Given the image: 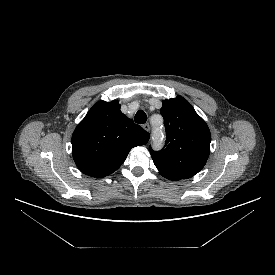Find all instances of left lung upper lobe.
<instances>
[{"label": "left lung upper lobe", "instance_id": "obj_1", "mask_svg": "<svg viewBox=\"0 0 275 275\" xmlns=\"http://www.w3.org/2000/svg\"><path fill=\"white\" fill-rule=\"evenodd\" d=\"M166 142L159 152L150 149L155 166L170 180L187 179L206 164L211 135L206 122L183 97L163 101L160 110Z\"/></svg>", "mask_w": 275, "mask_h": 275}]
</instances>
